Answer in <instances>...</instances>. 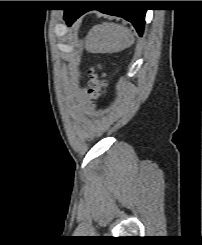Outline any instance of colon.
<instances>
[{
  "label": "colon",
  "mask_w": 202,
  "mask_h": 245,
  "mask_svg": "<svg viewBox=\"0 0 202 245\" xmlns=\"http://www.w3.org/2000/svg\"><path fill=\"white\" fill-rule=\"evenodd\" d=\"M101 68L102 67L98 65L88 70L89 81L87 93L94 102L98 101L105 94L108 85L105 75L98 72Z\"/></svg>",
  "instance_id": "colon-1"
}]
</instances>
